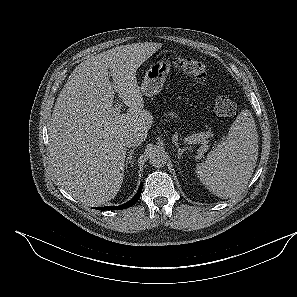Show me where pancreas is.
<instances>
[{
    "label": "pancreas",
    "mask_w": 297,
    "mask_h": 297,
    "mask_svg": "<svg viewBox=\"0 0 297 297\" xmlns=\"http://www.w3.org/2000/svg\"><path fill=\"white\" fill-rule=\"evenodd\" d=\"M169 116H173V113H169ZM210 136L209 132H200L193 134L192 136L188 137L192 139L193 143H203L204 145L207 143V138ZM186 138V139H188Z\"/></svg>",
    "instance_id": "1"
}]
</instances>
